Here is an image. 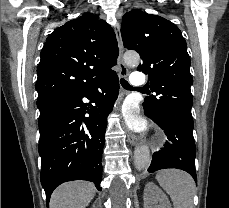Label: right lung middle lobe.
Returning a JSON list of instances; mask_svg holds the SVG:
<instances>
[{"mask_svg":"<svg viewBox=\"0 0 229 208\" xmlns=\"http://www.w3.org/2000/svg\"><path fill=\"white\" fill-rule=\"evenodd\" d=\"M67 101H69V100L60 99V100H52V101L37 104V106L40 110L39 119L45 117L50 112L54 111L57 107L66 103Z\"/></svg>","mask_w":229,"mask_h":208,"instance_id":"obj_1","label":"right lung middle lobe"}]
</instances>
